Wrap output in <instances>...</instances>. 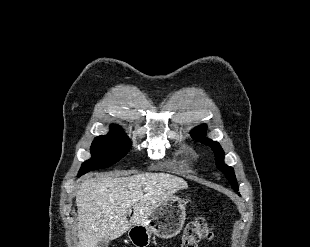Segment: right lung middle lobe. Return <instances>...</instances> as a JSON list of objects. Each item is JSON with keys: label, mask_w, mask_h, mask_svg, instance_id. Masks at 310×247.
<instances>
[{"label": "right lung middle lobe", "mask_w": 310, "mask_h": 247, "mask_svg": "<svg viewBox=\"0 0 310 247\" xmlns=\"http://www.w3.org/2000/svg\"><path fill=\"white\" fill-rule=\"evenodd\" d=\"M130 146V139L117 125H112L109 134L95 138L90 149L92 157L82 164L79 174L115 164L126 155Z\"/></svg>", "instance_id": "right-lung-middle-lobe-1"}]
</instances>
